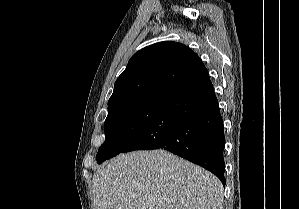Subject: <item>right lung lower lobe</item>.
Instances as JSON below:
<instances>
[{"label":"right lung lower lobe","mask_w":299,"mask_h":209,"mask_svg":"<svg viewBox=\"0 0 299 209\" xmlns=\"http://www.w3.org/2000/svg\"><path fill=\"white\" fill-rule=\"evenodd\" d=\"M224 145L223 119L206 71L165 100L121 152L165 149L211 171L225 185Z\"/></svg>","instance_id":"98d812e1"}]
</instances>
